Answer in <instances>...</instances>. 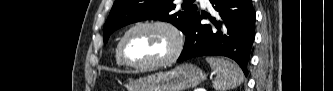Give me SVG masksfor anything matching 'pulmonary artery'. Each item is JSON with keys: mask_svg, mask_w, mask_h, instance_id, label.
Returning <instances> with one entry per match:
<instances>
[{"mask_svg": "<svg viewBox=\"0 0 333 91\" xmlns=\"http://www.w3.org/2000/svg\"><path fill=\"white\" fill-rule=\"evenodd\" d=\"M201 2L203 3L204 6L208 5V1L207 0H202Z\"/></svg>", "mask_w": 333, "mask_h": 91, "instance_id": "e3ab8cb5", "label": "pulmonary artery"}]
</instances>
